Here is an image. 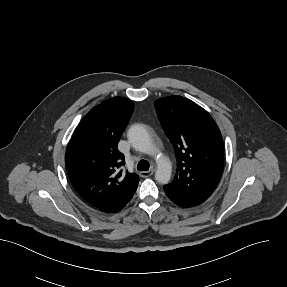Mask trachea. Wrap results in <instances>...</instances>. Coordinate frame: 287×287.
Returning a JSON list of instances; mask_svg holds the SVG:
<instances>
[{"label": "trachea", "instance_id": "trachea-1", "mask_svg": "<svg viewBox=\"0 0 287 287\" xmlns=\"http://www.w3.org/2000/svg\"><path fill=\"white\" fill-rule=\"evenodd\" d=\"M149 163L146 160H140L137 165V169L140 171H148L149 170Z\"/></svg>", "mask_w": 287, "mask_h": 287}]
</instances>
